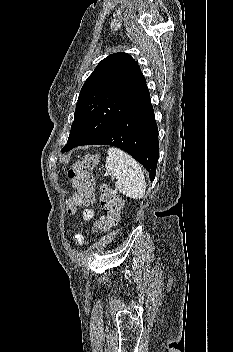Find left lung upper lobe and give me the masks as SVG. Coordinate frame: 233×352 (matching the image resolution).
I'll return each mask as SVG.
<instances>
[{"instance_id":"obj_1","label":"left lung upper lobe","mask_w":233,"mask_h":352,"mask_svg":"<svg viewBox=\"0 0 233 352\" xmlns=\"http://www.w3.org/2000/svg\"><path fill=\"white\" fill-rule=\"evenodd\" d=\"M150 97L139 65L123 52L104 58L85 81L63 152L86 145Z\"/></svg>"}]
</instances>
